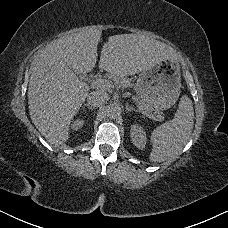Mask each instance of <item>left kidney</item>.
I'll use <instances>...</instances> for the list:
<instances>
[{
    "label": "left kidney",
    "instance_id": "5707ae66",
    "mask_svg": "<svg viewBox=\"0 0 228 228\" xmlns=\"http://www.w3.org/2000/svg\"><path fill=\"white\" fill-rule=\"evenodd\" d=\"M131 139L133 144L138 149H143L145 147L146 135L144 130L140 126L138 125L131 126Z\"/></svg>",
    "mask_w": 228,
    "mask_h": 228
}]
</instances>
